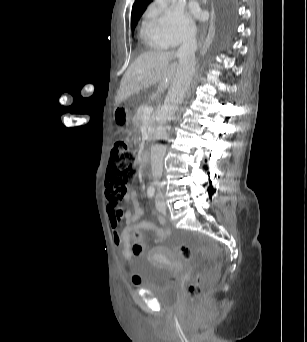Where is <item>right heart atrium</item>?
Returning <instances> with one entry per match:
<instances>
[{"instance_id": "d8ad5b80", "label": "right heart atrium", "mask_w": 307, "mask_h": 342, "mask_svg": "<svg viewBox=\"0 0 307 342\" xmlns=\"http://www.w3.org/2000/svg\"><path fill=\"white\" fill-rule=\"evenodd\" d=\"M193 31V26L183 20L179 11L164 8L155 13L151 25L143 33L165 47H175Z\"/></svg>"}]
</instances>
